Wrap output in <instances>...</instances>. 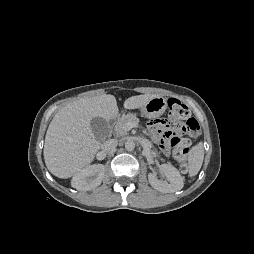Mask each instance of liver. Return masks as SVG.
Segmentation results:
<instances>
[{
  "instance_id": "liver-1",
  "label": "liver",
  "mask_w": 254,
  "mask_h": 254,
  "mask_svg": "<svg viewBox=\"0 0 254 254\" xmlns=\"http://www.w3.org/2000/svg\"><path fill=\"white\" fill-rule=\"evenodd\" d=\"M155 94L132 96L124 101L125 109H138ZM119 114L116 98L103 94L73 101L56 113L45 136L44 159L48 170L58 178H69L93 160L101 147L91 128V120L105 121Z\"/></svg>"
}]
</instances>
